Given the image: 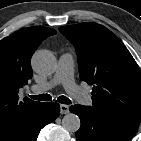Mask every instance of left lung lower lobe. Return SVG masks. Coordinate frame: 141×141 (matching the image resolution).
<instances>
[{
	"label": "left lung lower lobe",
	"instance_id": "1",
	"mask_svg": "<svg viewBox=\"0 0 141 141\" xmlns=\"http://www.w3.org/2000/svg\"><path fill=\"white\" fill-rule=\"evenodd\" d=\"M70 111L81 120V127L76 132L77 141H130L139 126L91 106L73 105Z\"/></svg>",
	"mask_w": 141,
	"mask_h": 141
}]
</instances>
